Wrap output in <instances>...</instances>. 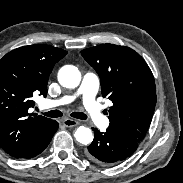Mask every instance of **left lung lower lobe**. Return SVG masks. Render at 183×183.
Here are the masks:
<instances>
[{
	"instance_id": "obj_1",
	"label": "left lung lower lobe",
	"mask_w": 183,
	"mask_h": 183,
	"mask_svg": "<svg viewBox=\"0 0 183 183\" xmlns=\"http://www.w3.org/2000/svg\"><path fill=\"white\" fill-rule=\"evenodd\" d=\"M95 134L93 142L86 150L91 161L101 165H113L131 156L139 142L115 130L107 128L100 132L92 128Z\"/></svg>"
}]
</instances>
